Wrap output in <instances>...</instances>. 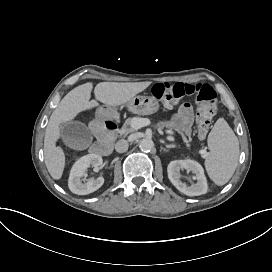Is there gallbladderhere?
<instances>
[{
  "label": "gallbladder",
  "mask_w": 272,
  "mask_h": 272,
  "mask_svg": "<svg viewBox=\"0 0 272 272\" xmlns=\"http://www.w3.org/2000/svg\"><path fill=\"white\" fill-rule=\"evenodd\" d=\"M64 143L73 149L88 148L93 141L90 129L85 123L71 121L65 123L61 128Z\"/></svg>",
  "instance_id": "gallbladder-1"
}]
</instances>
